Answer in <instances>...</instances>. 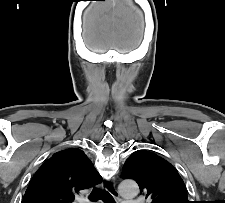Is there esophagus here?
<instances>
[{
	"instance_id": "1",
	"label": "esophagus",
	"mask_w": 225,
	"mask_h": 203,
	"mask_svg": "<svg viewBox=\"0 0 225 203\" xmlns=\"http://www.w3.org/2000/svg\"><path fill=\"white\" fill-rule=\"evenodd\" d=\"M107 189L113 194L115 198H118L115 179H112L108 182Z\"/></svg>"
}]
</instances>
